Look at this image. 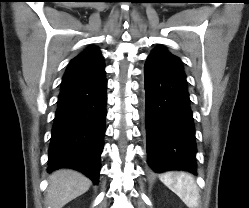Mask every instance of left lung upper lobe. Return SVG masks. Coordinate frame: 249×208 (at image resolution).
Wrapping results in <instances>:
<instances>
[{"label": "left lung upper lobe", "instance_id": "1", "mask_svg": "<svg viewBox=\"0 0 249 208\" xmlns=\"http://www.w3.org/2000/svg\"><path fill=\"white\" fill-rule=\"evenodd\" d=\"M149 57L163 59L183 68L181 60L167 51L163 46H157L156 48H154Z\"/></svg>", "mask_w": 249, "mask_h": 208}]
</instances>
